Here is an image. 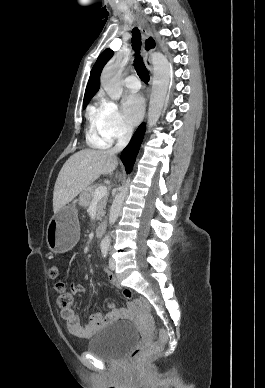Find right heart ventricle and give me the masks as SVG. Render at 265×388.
I'll return each instance as SVG.
<instances>
[{
  "mask_svg": "<svg viewBox=\"0 0 265 388\" xmlns=\"http://www.w3.org/2000/svg\"><path fill=\"white\" fill-rule=\"evenodd\" d=\"M99 132L100 130L96 121L94 111H91L88 140L93 145H96L99 147H107L110 144V140L106 139L104 136H101Z\"/></svg>",
  "mask_w": 265,
  "mask_h": 388,
  "instance_id": "e07e8e85",
  "label": "right heart ventricle"
}]
</instances>
